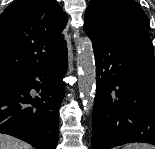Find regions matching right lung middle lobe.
<instances>
[{"instance_id":"dd1d6c3e","label":"right lung middle lobe","mask_w":155,"mask_h":149,"mask_svg":"<svg viewBox=\"0 0 155 149\" xmlns=\"http://www.w3.org/2000/svg\"><path fill=\"white\" fill-rule=\"evenodd\" d=\"M25 74L14 70H0V90L17 88L21 85Z\"/></svg>"}]
</instances>
